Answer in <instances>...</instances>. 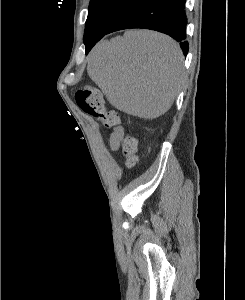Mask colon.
Here are the masks:
<instances>
[{
	"mask_svg": "<svg viewBox=\"0 0 245 300\" xmlns=\"http://www.w3.org/2000/svg\"><path fill=\"white\" fill-rule=\"evenodd\" d=\"M76 102L79 108L86 114L100 119L106 126L120 125V118L116 111L106 110L101 91L92 85H84L76 92ZM137 139L126 134L122 140V153L126 166L132 168L138 161Z\"/></svg>",
	"mask_w": 245,
	"mask_h": 300,
	"instance_id": "colon-1",
	"label": "colon"
}]
</instances>
